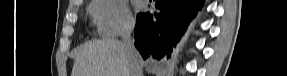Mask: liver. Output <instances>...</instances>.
<instances>
[{
  "label": "liver",
  "mask_w": 287,
  "mask_h": 76,
  "mask_svg": "<svg viewBox=\"0 0 287 76\" xmlns=\"http://www.w3.org/2000/svg\"><path fill=\"white\" fill-rule=\"evenodd\" d=\"M138 57L143 66L139 54ZM71 76H130L123 43L108 38L86 43L76 53Z\"/></svg>",
  "instance_id": "6515ba94"
}]
</instances>
